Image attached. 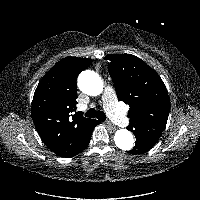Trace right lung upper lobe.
Returning <instances> with one entry per match:
<instances>
[{
	"label": "right lung upper lobe",
	"instance_id": "right-lung-upper-lobe-1",
	"mask_svg": "<svg viewBox=\"0 0 200 200\" xmlns=\"http://www.w3.org/2000/svg\"><path fill=\"white\" fill-rule=\"evenodd\" d=\"M91 63L89 59L63 58L44 75L35 90L33 122L42 141L58 156H70L94 121L75 112L77 77Z\"/></svg>",
	"mask_w": 200,
	"mask_h": 200
}]
</instances>
